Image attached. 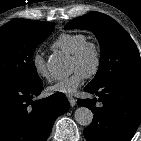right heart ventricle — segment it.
Wrapping results in <instances>:
<instances>
[{
  "mask_svg": "<svg viewBox=\"0 0 141 141\" xmlns=\"http://www.w3.org/2000/svg\"><path fill=\"white\" fill-rule=\"evenodd\" d=\"M86 40V36L82 33H65L61 34L54 41L52 46L56 49L72 54Z\"/></svg>",
  "mask_w": 141,
  "mask_h": 141,
  "instance_id": "obj_1",
  "label": "right heart ventricle"
}]
</instances>
